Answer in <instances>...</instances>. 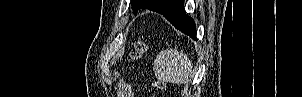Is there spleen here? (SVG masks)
Returning <instances> with one entry per match:
<instances>
[{
    "label": "spleen",
    "instance_id": "3e777b00",
    "mask_svg": "<svg viewBox=\"0 0 302 97\" xmlns=\"http://www.w3.org/2000/svg\"><path fill=\"white\" fill-rule=\"evenodd\" d=\"M153 70L158 80L186 83L192 75L193 65L185 53L167 49L158 55Z\"/></svg>",
    "mask_w": 302,
    "mask_h": 97
}]
</instances>
